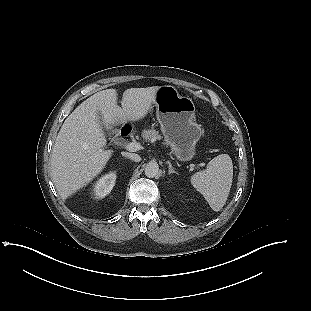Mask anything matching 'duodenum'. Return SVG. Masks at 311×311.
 <instances>
[{"instance_id": "duodenum-1", "label": "duodenum", "mask_w": 311, "mask_h": 311, "mask_svg": "<svg viewBox=\"0 0 311 311\" xmlns=\"http://www.w3.org/2000/svg\"><path fill=\"white\" fill-rule=\"evenodd\" d=\"M121 133H122L123 136H125V135L128 134V130L127 129H123Z\"/></svg>"}]
</instances>
